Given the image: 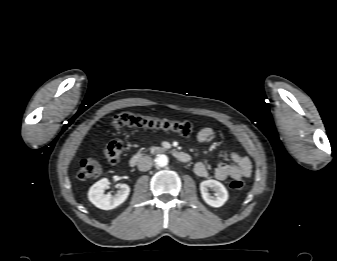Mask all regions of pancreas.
Segmentation results:
<instances>
[{
    "label": "pancreas",
    "mask_w": 337,
    "mask_h": 261,
    "mask_svg": "<svg viewBox=\"0 0 337 261\" xmlns=\"http://www.w3.org/2000/svg\"><path fill=\"white\" fill-rule=\"evenodd\" d=\"M149 150L153 154L155 152H163L164 148H162V147H150Z\"/></svg>",
    "instance_id": "cf45deb5"
}]
</instances>
